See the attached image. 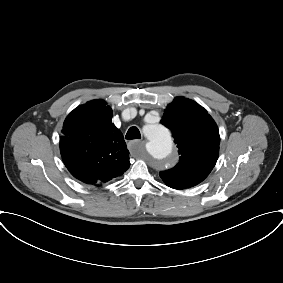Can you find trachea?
Returning a JSON list of instances; mask_svg holds the SVG:
<instances>
[{
  "label": "trachea",
  "mask_w": 283,
  "mask_h": 283,
  "mask_svg": "<svg viewBox=\"0 0 283 283\" xmlns=\"http://www.w3.org/2000/svg\"><path fill=\"white\" fill-rule=\"evenodd\" d=\"M140 138H141V134H140L137 127L129 128V130H128L126 136H125V139H128V140L140 139Z\"/></svg>",
  "instance_id": "3493384b"
}]
</instances>
